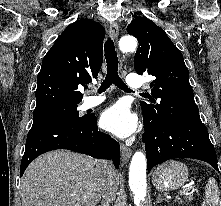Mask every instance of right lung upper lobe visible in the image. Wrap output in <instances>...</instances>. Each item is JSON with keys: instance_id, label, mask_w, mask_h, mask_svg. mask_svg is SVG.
Returning <instances> with one entry per match:
<instances>
[{"instance_id": "cb5924a9", "label": "right lung upper lobe", "mask_w": 221, "mask_h": 206, "mask_svg": "<svg viewBox=\"0 0 221 206\" xmlns=\"http://www.w3.org/2000/svg\"><path fill=\"white\" fill-rule=\"evenodd\" d=\"M104 36L103 26L88 19L76 21L64 30L42 61L36 107L82 101L78 86L97 78L103 62Z\"/></svg>"}]
</instances>
